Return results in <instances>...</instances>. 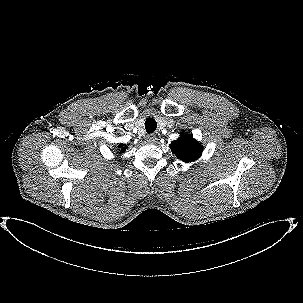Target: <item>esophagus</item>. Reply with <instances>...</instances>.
Instances as JSON below:
<instances>
[{
	"label": "esophagus",
	"mask_w": 303,
	"mask_h": 303,
	"mask_svg": "<svg viewBox=\"0 0 303 303\" xmlns=\"http://www.w3.org/2000/svg\"><path fill=\"white\" fill-rule=\"evenodd\" d=\"M147 142H149V143H156L157 142V140H158V138H157V136L156 135H154V134H149V135H147Z\"/></svg>",
	"instance_id": "1"
}]
</instances>
